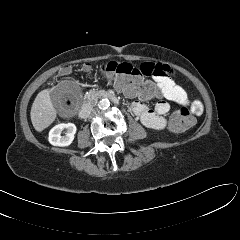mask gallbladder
Instances as JSON below:
<instances>
[{
  "instance_id": "bac80fb5",
  "label": "gallbladder",
  "mask_w": 240,
  "mask_h": 240,
  "mask_svg": "<svg viewBox=\"0 0 240 240\" xmlns=\"http://www.w3.org/2000/svg\"><path fill=\"white\" fill-rule=\"evenodd\" d=\"M69 85H70L69 82H64L63 84L55 87L50 93V97L52 99L54 106H56L57 109H59L60 111H61V105H59L57 102V96L60 94L63 95L62 93H64V91H67Z\"/></svg>"
}]
</instances>
